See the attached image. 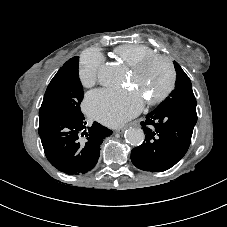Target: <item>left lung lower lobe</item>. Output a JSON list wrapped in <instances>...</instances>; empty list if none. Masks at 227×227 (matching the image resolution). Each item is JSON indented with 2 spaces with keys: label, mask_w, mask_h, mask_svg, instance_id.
<instances>
[{
  "label": "left lung lower lobe",
  "mask_w": 227,
  "mask_h": 227,
  "mask_svg": "<svg viewBox=\"0 0 227 227\" xmlns=\"http://www.w3.org/2000/svg\"><path fill=\"white\" fill-rule=\"evenodd\" d=\"M196 122V111L188 109L175 107L150 112L141 122L145 141L132 150V163L150 172L170 169L187 152Z\"/></svg>",
  "instance_id": "0a47b994"
}]
</instances>
